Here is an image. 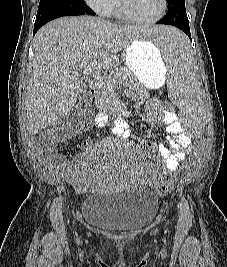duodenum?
I'll return each mask as SVG.
<instances>
[{
	"instance_id": "1",
	"label": "duodenum",
	"mask_w": 227,
	"mask_h": 267,
	"mask_svg": "<svg viewBox=\"0 0 227 267\" xmlns=\"http://www.w3.org/2000/svg\"><path fill=\"white\" fill-rule=\"evenodd\" d=\"M97 92V87L94 83L90 84L88 87V93L94 95Z\"/></svg>"
}]
</instances>
